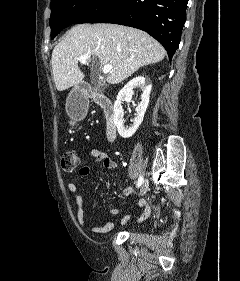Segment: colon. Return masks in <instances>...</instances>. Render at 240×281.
Returning a JSON list of instances; mask_svg holds the SVG:
<instances>
[{
  "instance_id": "colon-1",
  "label": "colon",
  "mask_w": 240,
  "mask_h": 281,
  "mask_svg": "<svg viewBox=\"0 0 240 281\" xmlns=\"http://www.w3.org/2000/svg\"><path fill=\"white\" fill-rule=\"evenodd\" d=\"M80 164L81 158L76 150H68L63 154L61 166L65 171H74L80 166Z\"/></svg>"
}]
</instances>
